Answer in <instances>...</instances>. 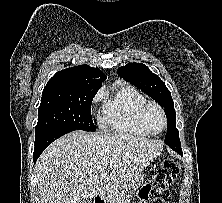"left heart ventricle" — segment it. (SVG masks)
Returning a JSON list of instances; mask_svg holds the SVG:
<instances>
[{"instance_id": "obj_1", "label": "left heart ventricle", "mask_w": 222, "mask_h": 203, "mask_svg": "<svg viewBox=\"0 0 222 203\" xmlns=\"http://www.w3.org/2000/svg\"><path fill=\"white\" fill-rule=\"evenodd\" d=\"M145 120L149 128L154 132H158L163 128L162 115L154 107H150L147 109L145 114Z\"/></svg>"}]
</instances>
